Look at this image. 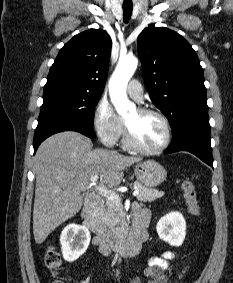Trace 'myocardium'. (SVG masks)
<instances>
[{"label":"myocardium","instance_id":"obj_1","mask_svg":"<svg viewBox=\"0 0 233 283\" xmlns=\"http://www.w3.org/2000/svg\"><path fill=\"white\" fill-rule=\"evenodd\" d=\"M137 111L142 114V115H155L157 117H159L161 119V121L163 122L164 126H165V130H166V138L164 143L156 148V149H147L143 146H141L135 139L133 132L131 130V128L129 127V125L124 122V126H125V140L127 145L132 148L133 150L142 153V154H146V155H157L160 154L162 152H164L170 145L171 140H172V129H171V125L169 120L167 119V117L160 112L159 110H156L154 108H148V107H141L138 108Z\"/></svg>","mask_w":233,"mask_h":283}]
</instances>
